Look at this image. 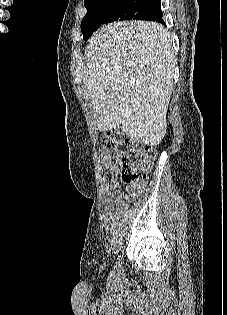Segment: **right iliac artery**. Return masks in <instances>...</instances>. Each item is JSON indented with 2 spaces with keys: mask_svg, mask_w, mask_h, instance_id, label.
Segmentation results:
<instances>
[{
  "mask_svg": "<svg viewBox=\"0 0 227 315\" xmlns=\"http://www.w3.org/2000/svg\"><path fill=\"white\" fill-rule=\"evenodd\" d=\"M112 235H113L114 238H117L118 237V231L114 230Z\"/></svg>",
  "mask_w": 227,
  "mask_h": 315,
  "instance_id": "obj_1",
  "label": "right iliac artery"
}]
</instances>
